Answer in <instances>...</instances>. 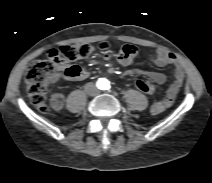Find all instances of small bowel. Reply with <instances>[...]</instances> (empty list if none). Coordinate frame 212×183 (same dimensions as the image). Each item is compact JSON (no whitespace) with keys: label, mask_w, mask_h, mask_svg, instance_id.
Wrapping results in <instances>:
<instances>
[{"label":"small bowel","mask_w":212,"mask_h":183,"mask_svg":"<svg viewBox=\"0 0 212 183\" xmlns=\"http://www.w3.org/2000/svg\"><path fill=\"white\" fill-rule=\"evenodd\" d=\"M136 48L132 45H125L122 47V49L119 51V53L116 55V58L118 62L123 66H128L132 63L134 57L136 56ZM106 57H110V55H106ZM152 63L156 67H164L167 65H171L174 68V81L169 86L166 95L159 101L155 102L151 106V112L154 115L160 114L164 112L166 109H168L174 102L181 86L184 81V71L183 68L178 61V59L170 52L164 50V49H157L154 56L151 58ZM73 65H69L67 63H62L58 66L59 71H65L67 68L71 67ZM76 68L77 73L73 77H66L67 79L81 81L86 79L89 74L88 72L80 69L77 66H73ZM136 74H140L143 76L148 77L150 82H156L158 84H163L166 82L167 77L165 74L161 72H154V71H146V70H135ZM58 76L55 77L57 79ZM154 85V84H153ZM51 104L52 107L55 110H60L63 107L64 100L63 96L61 94H53L51 97Z\"/></svg>","instance_id":"small-bowel-1"}]
</instances>
